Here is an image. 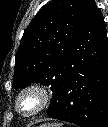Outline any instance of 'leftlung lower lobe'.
<instances>
[{
	"instance_id": "1",
	"label": "left lung lower lobe",
	"mask_w": 108,
	"mask_h": 127,
	"mask_svg": "<svg viewBox=\"0 0 108 127\" xmlns=\"http://www.w3.org/2000/svg\"><path fill=\"white\" fill-rule=\"evenodd\" d=\"M47 114L81 127H108V38L90 0Z\"/></svg>"
}]
</instances>
